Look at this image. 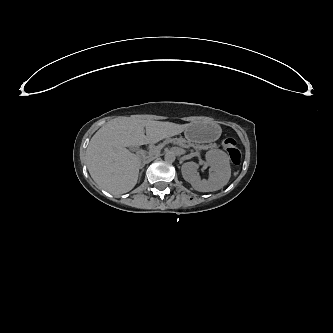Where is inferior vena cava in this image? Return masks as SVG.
I'll list each match as a JSON object with an SVG mask.
<instances>
[{
	"label": "inferior vena cava",
	"mask_w": 333,
	"mask_h": 333,
	"mask_svg": "<svg viewBox=\"0 0 333 333\" xmlns=\"http://www.w3.org/2000/svg\"><path fill=\"white\" fill-rule=\"evenodd\" d=\"M152 160V158L147 159L145 162L148 163Z\"/></svg>",
	"instance_id": "obj_1"
}]
</instances>
